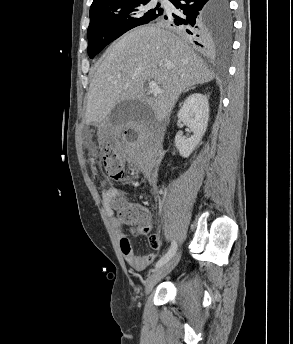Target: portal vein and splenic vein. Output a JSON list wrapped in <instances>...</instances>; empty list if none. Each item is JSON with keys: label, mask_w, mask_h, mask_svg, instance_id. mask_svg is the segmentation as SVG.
Returning <instances> with one entry per match:
<instances>
[{"label": "portal vein and splenic vein", "mask_w": 293, "mask_h": 344, "mask_svg": "<svg viewBox=\"0 0 293 344\" xmlns=\"http://www.w3.org/2000/svg\"><path fill=\"white\" fill-rule=\"evenodd\" d=\"M148 88H149L150 93H153L154 95L163 93V90L159 88V86L157 85L155 81L149 82Z\"/></svg>", "instance_id": "18ae733b"}]
</instances>
